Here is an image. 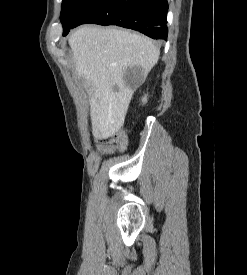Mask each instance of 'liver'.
<instances>
[{
	"label": "liver",
	"instance_id": "6515ba94",
	"mask_svg": "<svg viewBox=\"0 0 247 275\" xmlns=\"http://www.w3.org/2000/svg\"><path fill=\"white\" fill-rule=\"evenodd\" d=\"M75 72L90 94L92 134L105 139L124 124L133 88L126 85L128 67H141L144 78L157 63L160 49L138 33L113 27L84 26L69 37Z\"/></svg>",
	"mask_w": 247,
	"mask_h": 275
}]
</instances>
